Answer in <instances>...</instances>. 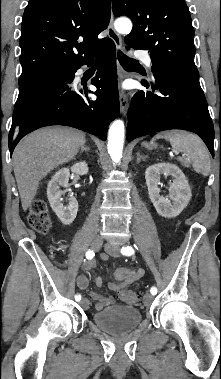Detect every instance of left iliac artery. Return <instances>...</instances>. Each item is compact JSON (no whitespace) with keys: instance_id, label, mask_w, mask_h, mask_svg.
<instances>
[{"instance_id":"obj_1","label":"left iliac artery","mask_w":221,"mask_h":379,"mask_svg":"<svg viewBox=\"0 0 221 379\" xmlns=\"http://www.w3.org/2000/svg\"><path fill=\"white\" fill-rule=\"evenodd\" d=\"M121 253L126 256H130L134 254V249L131 246L122 247ZM150 292L152 295L157 294V288L155 286L151 287Z\"/></svg>"}]
</instances>
